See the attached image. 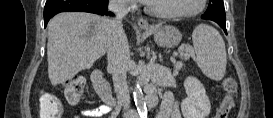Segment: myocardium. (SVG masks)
Wrapping results in <instances>:
<instances>
[{"label": "myocardium", "instance_id": "f54148a6", "mask_svg": "<svg viewBox=\"0 0 273 118\" xmlns=\"http://www.w3.org/2000/svg\"><path fill=\"white\" fill-rule=\"evenodd\" d=\"M206 0H199V4L196 9L189 11V12H184V13H175V12H160L157 11L153 6L151 2H147L145 4L146 10L152 14L155 17L163 18V19H178V18H187V17H192L200 12H202L206 6Z\"/></svg>", "mask_w": 273, "mask_h": 118}]
</instances>
